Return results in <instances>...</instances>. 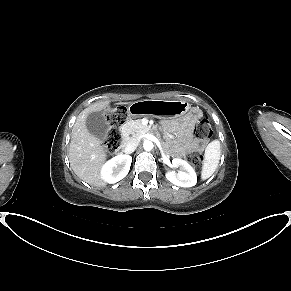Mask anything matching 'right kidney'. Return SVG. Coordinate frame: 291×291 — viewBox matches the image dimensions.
<instances>
[{
	"label": "right kidney",
	"instance_id": "ca27d5eb",
	"mask_svg": "<svg viewBox=\"0 0 291 291\" xmlns=\"http://www.w3.org/2000/svg\"><path fill=\"white\" fill-rule=\"evenodd\" d=\"M131 162L132 157L129 155L115 156L102 166L100 176L105 182L114 184L128 174Z\"/></svg>",
	"mask_w": 291,
	"mask_h": 291
}]
</instances>
